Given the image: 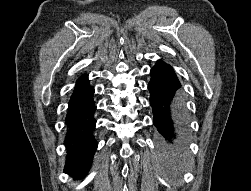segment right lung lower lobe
I'll return each instance as SVG.
<instances>
[{
	"mask_svg": "<svg viewBox=\"0 0 251 191\" xmlns=\"http://www.w3.org/2000/svg\"><path fill=\"white\" fill-rule=\"evenodd\" d=\"M93 94L94 88L89 85L87 74H84L77 80L68 104L64 141L68 155L64 172L74 179L87 174L97 149V141L93 136L96 125Z\"/></svg>",
	"mask_w": 251,
	"mask_h": 191,
	"instance_id": "98d812e1",
	"label": "right lung lower lobe"
}]
</instances>
